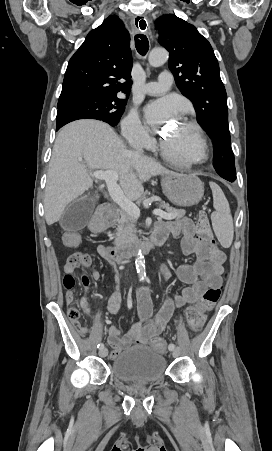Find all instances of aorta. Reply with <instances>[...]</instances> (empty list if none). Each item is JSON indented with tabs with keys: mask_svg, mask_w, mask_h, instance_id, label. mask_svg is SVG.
<instances>
[{
	"mask_svg": "<svg viewBox=\"0 0 272 451\" xmlns=\"http://www.w3.org/2000/svg\"><path fill=\"white\" fill-rule=\"evenodd\" d=\"M168 56V52H166V50H163V48H155V50H152V52H150L148 56V62L150 66H153V68H159V66H163V64L167 62ZM135 267L140 279H144L146 275L145 259L141 249L137 253V257L135 259Z\"/></svg>",
	"mask_w": 272,
	"mask_h": 451,
	"instance_id": "aorta-1",
	"label": "aorta"
}]
</instances>
